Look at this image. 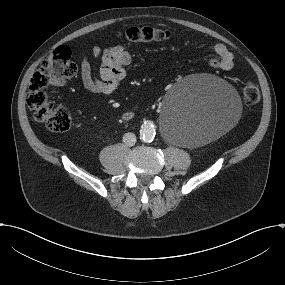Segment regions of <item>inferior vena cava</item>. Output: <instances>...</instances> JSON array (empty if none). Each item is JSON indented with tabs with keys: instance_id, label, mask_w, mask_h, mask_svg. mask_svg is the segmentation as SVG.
Segmentation results:
<instances>
[{
	"instance_id": "inferior-vena-cava-1",
	"label": "inferior vena cava",
	"mask_w": 285,
	"mask_h": 285,
	"mask_svg": "<svg viewBox=\"0 0 285 285\" xmlns=\"http://www.w3.org/2000/svg\"><path fill=\"white\" fill-rule=\"evenodd\" d=\"M123 141L127 146H133L136 143V136L133 133H126L123 136Z\"/></svg>"
}]
</instances>
